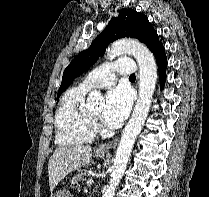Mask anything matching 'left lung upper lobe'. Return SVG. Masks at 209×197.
Here are the masks:
<instances>
[{
    "label": "left lung upper lobe",
    "instance_id": "1",
    "mask_svg": "<svg viewBox=\"0 0 209 197\" xmlns=\"http://www.w3.org/2000/svg\"><path fill=\"white\" fill-rule=\"evenodd\" d=\"M123 37L137 38L153 50L161 43L157 32L149 23L147 16L131 9H121L118 17H113L104 31L91 46L78 54L63 73L57 98L73 82L74 78L85 72L103 55L110 42Z\"/></svg>",
    "mask_w": 209,
    "mask_h": 197
}]
</instances>
